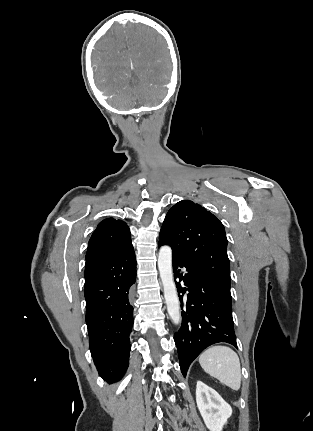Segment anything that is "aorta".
Wrapping results in <instances>:
<instances>
[{"mask_svg":"<svg viewBox=\"0 0 313 431\" xmlns=\"http://www.w3.org/2000/svg\"><path fill=\"white\" fill-rule=\"evenodd\" d=\"M158 269L164 290L167 312L174 324H180L181 312L177 289L173 279L172 250L169 246H162L158 254Z\"/></svg>","mask_w":313,"mask_h":431,"instance_id":"762f6f07","label":"aorta"}]
</instances>
